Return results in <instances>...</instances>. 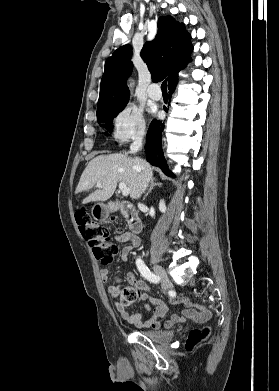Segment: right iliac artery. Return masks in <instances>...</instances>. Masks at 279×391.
Returning a JSON list of instances; mask_svg holds the SVG:
<instances>
[{"label":"right iliac artery","instance_id":"82829eb1","mask_svg":"<svg viewBox=\"0 0 279 391\" xmlns=\"http://www.w3.org/2000/svg\"><path fill=\"white\" fill-rule=\"evenodd\" d=\"M136 265H137L139 272L148 281L153 282V283L159 282V277H157L154 273H152L140 258L136 260Z\"/></svg>","mask_w":279,"mask_h":391}]
</instances>
